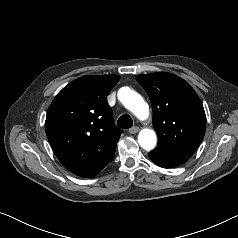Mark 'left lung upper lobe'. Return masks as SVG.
Instances as JSON below:
<instances>
[{
	"instance_id": "5c2ea615",
	"label": "left lung upper lobe",
	"mask_w": 238,
	"mask_h": 238,
	"mask_svg": "<svg viewBox=\"0 0 238 238\" xmlns=\"http://www.w3.org/2000/svg\"><path fill=\"white\" fill-rule=\"evenodd\" d=\"M136 80L151 101L157 147L192 156L206 129L205 111L194 89L182 78L165 72L141 74Z\"/></svg>"
}]
</instances>
